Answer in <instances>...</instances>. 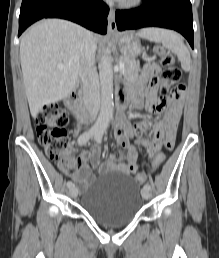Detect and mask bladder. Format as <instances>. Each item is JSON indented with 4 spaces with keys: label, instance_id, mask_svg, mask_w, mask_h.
Segmentation results:
<instances>
[{
    "label": "bladder",
    "instance_id": "31cf9c89",
    "mask_svg": "<svg viewBox=\"0 0 219 258\" xmlns=\"http://www.w3.org/2000/svg\"><path fill=\"white\" fill-rule=\"evenodd\" d=\"M81 208L99 223H130L142 208L138 184L127 174L109 170L96 175L81 195Z\"/></svg>",
    "mask_w": 219,
    "mask_h": 258
}]
</instances>
